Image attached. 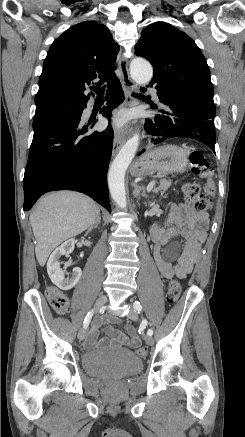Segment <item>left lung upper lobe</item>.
<instances>
[{"instance_id": "left-lung-upper-lobe-1", "label": "left lung upper lobe", "mask_w": 245, "mask_h": 437, "mask_svg": "<svg viewBox=\"0 0 245 437\" xmlns=\"http://www.w3.org/2000/svg\"><path fill=\"white\" fill-rule=\"evenodd\" d=\"M135 54L152 64V80L213 100L214 88L206 59L193 39L178 28L160 21L150 24L143 29Z\"/></svg>"}]
</instances>
